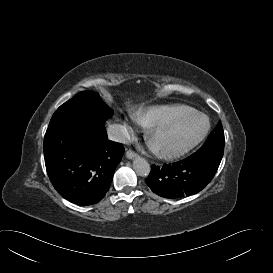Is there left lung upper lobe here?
Masks as SVG:
<instances>
[{"label":"left lung upper lobe","mask_w":273,"mask_h":273,"mask_svg":"<svg viewBox=\"0 0 273 273\" xmlns=\"http://www.w3.org/2000/svg\"><path fill=\"white\" fill-rule=\"evenodd\" d=\"M224 131L219 121L216 128L210 133L203 146L196 151L194 156L210 158L217 163L221 162L224 152Z\"/></svg>","instance_id":"left-lung-upper-lobe-1"}]
</instances>
